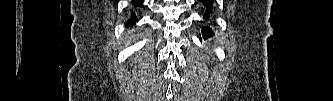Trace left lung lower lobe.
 Masks as SVG:
<instances>
[{
	"mask_svg": "<svg viewBox=\"0 0 333 101\" xmlns=\"http://www.w3.org/2000/svg\"><path fill=\"white\" fill-rule=\"evenodd\" d=\"M200 2H202L207 8H210L213 4V0H199ZM209 12L210 10H206L204 17L207 19L209 16ZM210 34L212 35V29L209 26H205L202 28V35L204 38H207L210 36ZM201 38V36H200Z\"/></svg>",
	"mask_w": 333,
	"mask_h": 101,
	"instance_id": "1",
	"label": "left lung lower lobe"
}]
</instances>
